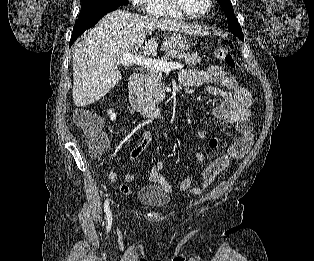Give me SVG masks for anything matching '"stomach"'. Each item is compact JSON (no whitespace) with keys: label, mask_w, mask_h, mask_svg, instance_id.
<instances>
[{"label":"stomach","mask_w":314,"mask_h":261,"mask_svg":"<svg viewBox=\"0 0 314 261\" xmlns=\"http://www.w3.org/2000/svg\"><path fill=\"white\" fill-rule=\"evenodd\" d=\"M165 47L188 52L191 48L190 41L179 32H173L165 39Z\"/></svg>","instance_id":"1"}]
</instances>
